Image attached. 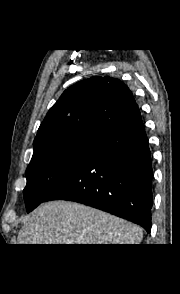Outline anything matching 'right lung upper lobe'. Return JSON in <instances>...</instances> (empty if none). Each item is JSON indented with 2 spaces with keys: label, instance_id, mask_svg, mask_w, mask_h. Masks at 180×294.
Instances as JSON below:
<instances>
[{
  "label": "right lung upper lobe",
  "instance_id": "cb5924a9",
  "mask_svg": "<svg viewBox=\"0 0 180 294\" xmlns=\"http://www.w3.org/2000/svg\"><path fill=\"white\" fill-rule=\"evenodd\" d=\"M137 109L131 91L117 79L96 76L80 81L47 113L34 139V154L69 140L99 141Z\"/></svg>",
  "mask_w": 180,
  "mask_h": 294
}]
</instances>
